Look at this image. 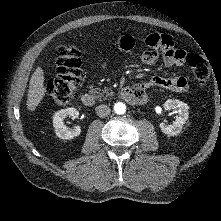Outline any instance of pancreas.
<instances>
[{
    "label": "pancreas",
    "instance_id": "1",
    "mask_svg": "<svg viewBox=\"0 0 221 221\" xmlns=\"http://www.w3.org/2000/svg\"><path fill=\"white\" fill-rule=\"evenodd\" d=\"M91 93H94V94H98V97H102L104 94L107 96H112L113 95V92L110 88H104V90L102 91V93H99L96 89H92L91 90Z\"/></svg>",
    "mask_w": 221,
    "mask_h": 221
}]
</instances>
